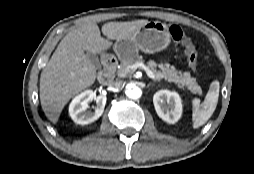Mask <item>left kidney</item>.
I'll use <instances>...</instances> for the list:
<instances>
[{
	"mask_svg": "<svg viewBox=\"0 0 254 174\" xmlns=\"http://www.w3.org/2000/svg\"><path fill=\"white\" fill-rule=\"evenodd\" d=\"M158 116L167 123H176L182 115V102L177 92L160 90L153 96Z\"/></svg>",
	"mask_w": 254,
	"mask_h": 174,
	"instance_id": "5707ae66",
	"label": "left kidney"
}]
</instances>
